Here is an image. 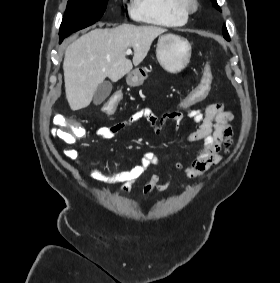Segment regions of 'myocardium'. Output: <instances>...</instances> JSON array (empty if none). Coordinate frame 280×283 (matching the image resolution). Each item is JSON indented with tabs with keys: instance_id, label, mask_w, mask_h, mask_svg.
<instances>
[{
	"instance_id": "obj_1",
	"label": "myocardium",
	"mask_w": 280,
	"mask_h": 283,
	"mask_svg": "<svg viewBox=\"0 0 280 283\" xmlns=\"http://www.w3.org/2000/svg\"><path fill=\"white\" fill-rule=\"evenodd\" d=\"M181 2L187 12L193 13L198 9L197 0H181Z\"/></svg>"
}]
</instances>
